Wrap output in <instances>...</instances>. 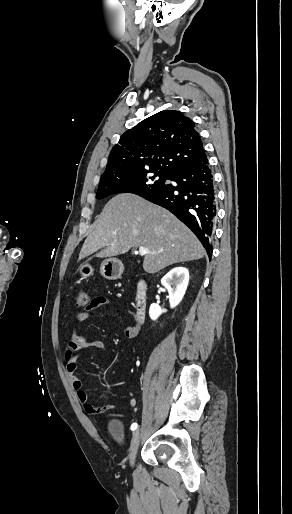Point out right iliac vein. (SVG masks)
<instances>
[{
    "instance_id": "63e3f726",
    "label": "right iliac vein",
    "mask_w": 292,
    "mask_h": 514,
    "mask_svg": "<svg viewBox=\"0 0 292 514\" xmlns=\"http://www.w3.org/2000/svg\"><path fill=\"white\" fill-rule=\"evenodd\" d=\"M141 430H142L141 428L137 429L135 431V433L133 434V437H132V440H131V445H130L129 455H128L129 463H130L131 466H133L134 462H135V457H136L137 449H138V446L140 444L141 435H142Z\"/></svg>"
}]
</instances>
